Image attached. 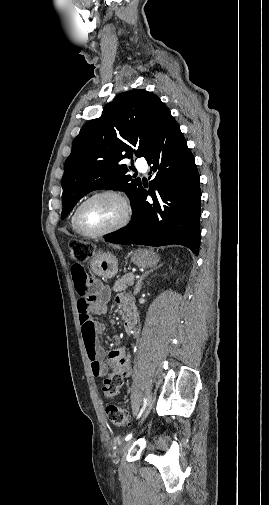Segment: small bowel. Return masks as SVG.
I'll return each instance as SVG.
<instances>
[{
    "label": "small bowel",
    "instance_id": "1",
    "mask_svg": "<svg viewBox=\"0 0 269 505\" xmlns=\"http://www.w3.org/2000/svg\"><path fill=\"white\" fill-rule=\"evenodd\" d=\"M80 262H75L72 266V278L74 281V292L78 298V314L81 323L82 336L86 348V352L90 361L91 370L95 377H103L108 367L116 374L124 378L131 376L133 367L129 354L125 348H116L108 353L107 361H105V351L98 343V335L103 333L104 326L96 323L92 315H103L108 291L105 288H99L98 298L93 295L90 289L89 275L85 268H81ZM117 302L121 306L130 302V299L124 295L117 297Z\"/></svg>",
    "mask_w": 269,
    "mask_h": 505
}]
</instances>
